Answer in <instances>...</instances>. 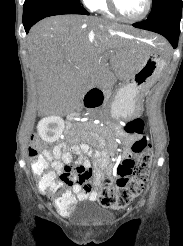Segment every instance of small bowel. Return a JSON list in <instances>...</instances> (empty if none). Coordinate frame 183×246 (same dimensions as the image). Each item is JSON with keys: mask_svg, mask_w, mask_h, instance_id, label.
<instances>
[{"mask_svg": "<svg viewBox=\"0 0 183 246\" xmlns=\"http://www.w3.org/2000/svg\"><path fill=\"white\" fill-rule=\"evenodd\" d=\"M114 132L121 138L125 146L121 155L122 159L131 158L132 147L136 141L142 138V132L126 133L118 127L114 128ZM80 137L85 142L74 145L61 143L55 145L52 150H45L43 152L44 157L50 161L53 170L59 174L60 178H76L69 184L71 190L64 191L59 197L61 201L71 203V207L58 208L64 216L69 215L78 202L86 200L95 201L97 199V193L93 189L91 178L94 177L95 181L103 179L104 170L113 158L116 150V140L111 129L101 128L83 131L80 133ZM73 155L79 156L76 164H71ZM83 155L93 157L95 159L94 166H92L88 159L83 158ZM77 171H84V173H78ZM61 184L63 183H59L56 186L53 194L58 191Z\"/></svg>", "mask_w": 183, "mask_h": 246, "instance_id": "c3829d8e", "label": "small bowel"}]
</instances>
